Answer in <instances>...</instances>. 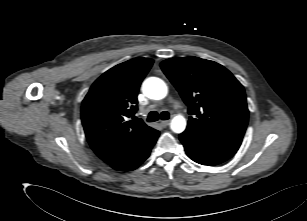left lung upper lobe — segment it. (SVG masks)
<instances>
[{
  "instance_id": "1",
  "label": "left lung upper lobe",
  "mask_w": 307,
  "mask_h": 221,
  "mask_svg": "<svg viewBox=\"0 0 307 221\" xmlns=\"http://www.w3.org/2000/svg\"><path fill=\"white\" fill-rule=\"evenodd\" d=\"M160 66L189 107V127L243 138L249 116L245 91L225 67L198 57H175Z\"/></svg>"
}]
</instances>
